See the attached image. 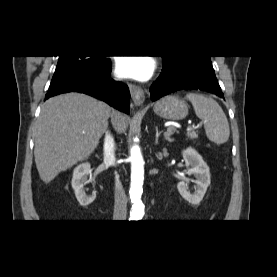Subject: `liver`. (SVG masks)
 I'll use <instances>...</instances> for the list:
<instances>
[{"label": "liver", "mask_w": 277, "mask_h": 277, "mask_svg": "<svg viewBox=\"0 0 277 277\" xmlns=\"http://www.w3.org/2000/svg\"><path fill=\"white\" fill-rule=\"evenodd\" d=\"M127 128L126 117L106 103L79 93L48 99L41 107L35 133L34 157L41 180L51 182L60 172L87 159L108 127Z\"/></svg>", "instance_id": "liver-1"}]
</instances>
